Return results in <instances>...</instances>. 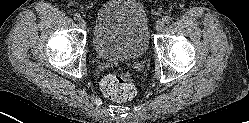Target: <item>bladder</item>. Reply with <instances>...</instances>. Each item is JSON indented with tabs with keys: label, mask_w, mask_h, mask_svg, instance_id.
<instances>
[{
	"label": "bladder",
	"mask_w": 249,
	"mask_h": 123,
	"mask_svg": "<svg viewBox=\"0 0 249 123\" xmlns=\"http://www.w3.org/2000/svg\"><path fill=\"white\" fill-rule=\"evenodd\" d=\"M92 44L104 59L141 57L149 45V21L139 0H106L95 15Z\"/></svg>",
	"instance_id": "1"
}]
</instances>
